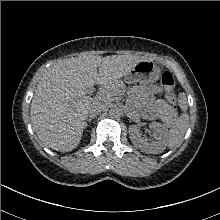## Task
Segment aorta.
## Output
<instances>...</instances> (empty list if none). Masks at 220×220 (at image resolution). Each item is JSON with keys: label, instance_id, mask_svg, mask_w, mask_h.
<instances>
[{"label": "aorta", "instance_id": "aorta-1", "mask_svg": "<svg viewBox=\"0 0 220 220\" xmlns=\"http://www.w3.org/2000/svg\"><path fill=\"white\" fill-rule=\"evenodd\" d=\"M119 114V111L116 109V108H112L110 111H109V115L110 116H117Z\"/></svg>", "mask_w": 220, "mask_h": 220}]
</instances>
